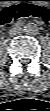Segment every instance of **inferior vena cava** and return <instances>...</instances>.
<instances>
[{
    "label": "inferior vena cava",
    "mask_w": 50,
    "mask_h": 111,
    "mask_svg": "<svg viewBox=\"0 0 50 111\" xmlns=\"http://www.w3.org/2000/svg\"><path fill=\"white\" fill-rule=\"evenodd\" d=\"M22 28L21 27H13L10 31H9V35L10 36H16L22 33Z\"/></svg>",
    "instance_id": "602c4592"
}]
</instances>
